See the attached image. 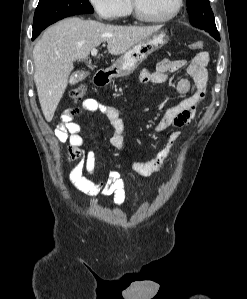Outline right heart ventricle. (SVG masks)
<instances>
[{
    "mask_svg": "<svg viewBox=\"0 0 247 299\" xmlns=\"http://www.w3.org/2000/svg\"><path fill=\"white\" fill-rule=\"evenodd\" d=\"M132 13V7L130 0H124L123 1V11L122 16H128Z\"/></svg>",
    "mask_w": 247,
    "mask_h": 299,
    "instance_id": "obj_1",
    "label": "right heart ventricle"
}]
</instances>
